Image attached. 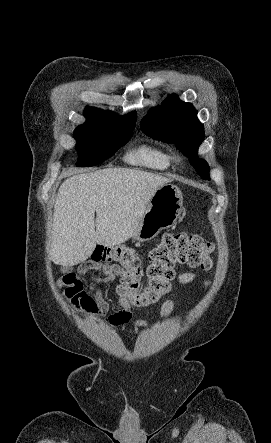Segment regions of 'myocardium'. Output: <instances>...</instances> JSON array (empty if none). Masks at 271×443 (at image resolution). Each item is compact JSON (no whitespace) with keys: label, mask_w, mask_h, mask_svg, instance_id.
I'll return each mask as SVG.
<instances>
[{"label":"myocardium","mask_w":271,"mask_h":443,"mask_svg":"<svg viewBox=\"0 0 271 443\" xmlns=\"http://www.w3.org/2000/svg\"><path fill=\"white\" fill-rule=\"evenodd\" d=\"M174 158L178 164H183L185 162V157L181 153H177Z\"/></svg>","instance_id":"obj_1"}]
</instances>
